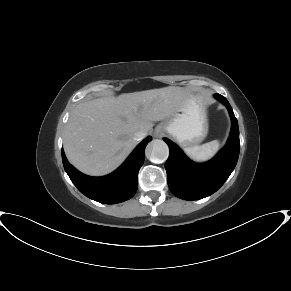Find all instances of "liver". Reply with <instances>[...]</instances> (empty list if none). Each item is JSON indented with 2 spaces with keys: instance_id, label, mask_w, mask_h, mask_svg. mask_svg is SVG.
Listing matches in <instances>:
<instances>
[{
  "instance_id": "1",
  "label": "liver",
  "mask_w": 291,
  "mask_h": 291,
  "mask_svg": "<svg viewBox=\"0 0 291 291\" xmlns=\"http://www.w3.org/2000/svg\"><path fill=\"white\" fill-rule=\"evenodd\" d=\"M182 97L181 88L170 86L78 104L63 136L69 162L92 176L114 171L137 145L134 133L147 134L153 121L173 115Z\"/></svg>"
}]
</instances>
